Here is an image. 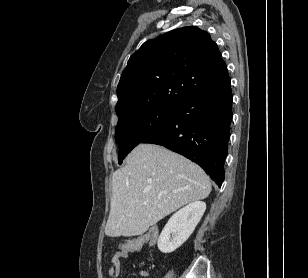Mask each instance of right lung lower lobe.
Returning a JSON list of instances; mask_svg holds the SVG:
<instances>
[{
	"label": "right lung lower lobe",
	"mask_w": 308,
	"mask_h": 278,
	"mask_svg": "<svg viewBox=\"0 0 308 278\" xmlns=\"http://www.w3.org/2000/svg\"><path fill=\"white\" fill-rule=\"evenodd\" d=\"M230 79L178 105L177 117L142 143L165 146L199 164L220 187L232 120Z\"/></svg>",
	"instance_id": "obj_1"
}]
</instances>
